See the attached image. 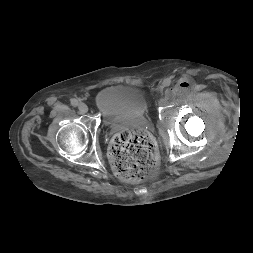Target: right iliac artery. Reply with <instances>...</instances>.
<instances>
[{
    "label": "right iliac artery",
    "mask_w": 253,
    "mask_h": 253,
    "mask_svg": "<svg viewBox=\"0 0 253 253\" xmlns=\"http://www.w3.org/2000/svg\"><path fill=\"white\" fill-rule=\"evenodd\" d=\"M78 104H79V102H78L77 99H71V105L72 106L76 107V106H78Z\"/></svg>",
    "instance_id": "82829eb1"
}]
</instances>
